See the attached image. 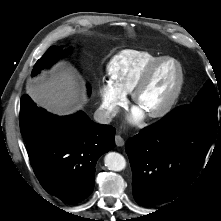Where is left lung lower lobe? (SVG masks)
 Returning <instances> with one entry per match:
<instances>
[{
  "mask_svg": "<svg viewBox=\"0 0 221 221\" xmlns=\"http://www.w3.org/2000/svg\"><path fill=\"white\" fill-rule=\"evenodd\" d=\"M217 133L205 126H178L165 116L131 137L125 149L136 202L154 206L174 200L200 171Z\"/></svg>",
  "mask_w": 221,
  "mask_h": 221,
  "instance_id": "0a47b994",
  "label": "left lung lower lobe"
}]
</instances>
